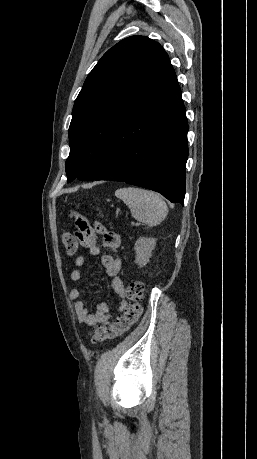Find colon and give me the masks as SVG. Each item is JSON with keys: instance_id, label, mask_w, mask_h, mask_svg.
Here are the masks:
<instances>
[{"instance_id": "obj_1", "label": "colon", "mask_w": 257, "mask_h": 459, "mask_svg": "<svg viewBox=\"0 0 257 459\" xmlns=\"http://www.w3.org/2000/svg\"><path fill=\"white\" fill-rule=\"evenodd\" d=\"M62 242L67 255L73 256L77 252L79 248L77 241L74 236H69L68 231L62 235ZM125 294L128 304L124 312L112 323L96 327L91 334L92 343L114 340L130 331L133 325L137 323L143 310L141 302L144 298V286L140 281H130L126 287Z\"/></svg>"}]
</instances>
